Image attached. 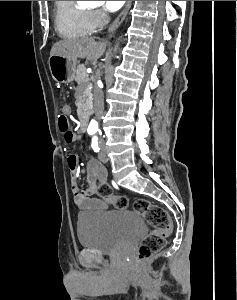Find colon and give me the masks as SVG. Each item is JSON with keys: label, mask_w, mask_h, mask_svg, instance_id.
Returning a JSON list of instances; mask_svg holds the SVG:
<instances>
[{"label": "colon", "mask_w": 237, "mask_h": 300, "mask_svg": "<svg viewBox=\"0 0 237 300\" xmlns=\"http://www.w3.org/2000/svg\"><path fill=\"white\" fill-rule=\"evenodd\" d=\"M58 125L67 144H72L77 140L76 133L73 131L66 115L62 114L59 116ZM98 195L112 203L116 209L123 210L129 205L126 196L113 194L112 188L106 183L100 185ZM133 209L137 214L142 215L152 227V231L140 242L137 248L138 261L145 262L163 249L166 237L171 231L172 222L168 212L164 208L146 199L139 198L135 200Z\"/></svg>", "instance_id": "obj_1"}]
</instances>
